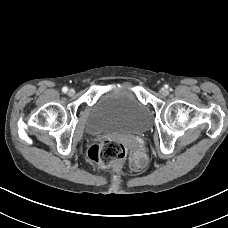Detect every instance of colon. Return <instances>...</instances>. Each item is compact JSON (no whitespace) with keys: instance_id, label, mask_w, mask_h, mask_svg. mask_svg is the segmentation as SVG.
<instances>
[{"instance_id":"colon-1","label":"colon","mask_w":228,"mask_h":228,"mask_svg":"<svg viewBox=\"0 0 228 228\" xmlns=\"http://www.w3.org/2000/svg\"><path fill=\"white\" fill-rule=\"evenodd\" d=\"M125 147L118 141L105 139L91 146L88 151L89 160L99 167H110L124 159Z\"/></svg>"}]
</instances>
